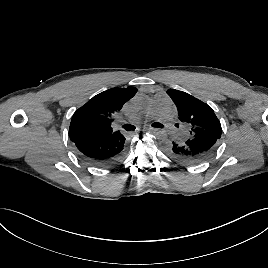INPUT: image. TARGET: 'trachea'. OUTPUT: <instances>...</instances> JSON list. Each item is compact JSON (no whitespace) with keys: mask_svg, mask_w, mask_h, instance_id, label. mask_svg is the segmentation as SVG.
Listing matches in <instances>:
<instances>
[{"mask_svg":"<svg viewBox=\"0 0 268 268\" xmlns=\"http://www.w3.org/2000/svg\"><path fill=\"white\" fill-rule=\"evenodd\" d=\"M153 127H159V128H163L164 126L161 124V123H158V122H155L152 124ZM123 128L126 130V131H132L135 129V126L133 125H130V124H126L123 126Z\"/></svg>","mask_w":268,"mask_h":268,"instance_id":"3493384b","label":"trachea"}]
</instances>
